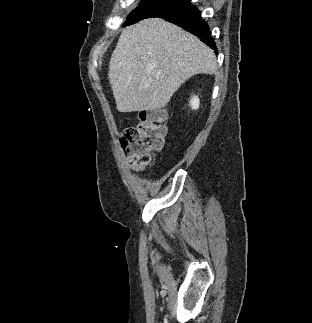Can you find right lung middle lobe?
Here are the masks:
<instances>
[{"instance_id":"obj_1","label":"right lung middle lobe","mask_w":312,"mask_h":323,"mask_svg":"<svg viewBox=\"0 0 312 323\" xmlns=\"http://www.w3.org/2000/svg\"><path fill=\"white\" fill-rule=\"evenodd\" d=\"M191 0H141V4L126 19L125 26L146 18L161 17L191 5Z\"/></svg>"}]
</instances>
